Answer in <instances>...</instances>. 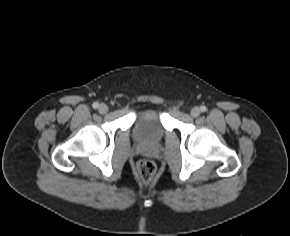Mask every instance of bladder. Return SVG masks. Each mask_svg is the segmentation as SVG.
Here are the masks:
<instances>
[{
  "instance_id": "31cf9c89",
  "label": "bladder",
  "mask_w": 290,
  "mask_h": 236,
  "mask_svg": "<svg viewBox=\"0 0 290 236\" xmlns=\"http://www.w3.org/2000/svg\"><path fill=\"white\" fill-rule=\"evenodd\" d=\"M164 133L163 116L160 111L147 110L137 116L134 126V134L137 140L145 143H155L162 139Z\"/></svg>"
}]
</instances>
